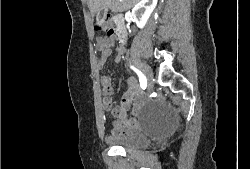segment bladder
<instances>
[{"label": "bladder", "mask_w": 250, "mask_h": 169, "mask_svg": "<svg viewBox=\"0 0 250 169\" xmlns=\"http://www.w3.org/2000/svg\"><path fill=\"white\" fill-rule=\"evenodd\" d=\"M149 134L143 133H113L105 135V141L109 144V147L112 148H121V149H145L150 145L148 142Z\"/></svg>", "instance_id": "31cf9c89"}]
</instances>
